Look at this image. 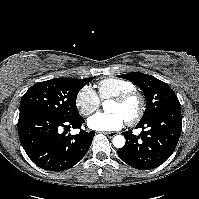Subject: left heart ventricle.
Wrapping results in <instances>:
<instances>
[{
  "mask_svg": "<svg viewBox=\"0 0 199 199\" xmlns=\"http://www.w3.org/2000/svg\"><path fill=\"white\" fill-rule=\"evenodd\" d=\"M138 103L136 99H131L125 104H118L112 102L109 107V112L111 113H120L126 120L132 116L137 111Z\"/></svg>",
  "mask_w": 199,
  "mask_h": 199,
  "instance_id": "left-heart-ventricle-1",
  "label": "left heart ventricle"
}]
</instances>
